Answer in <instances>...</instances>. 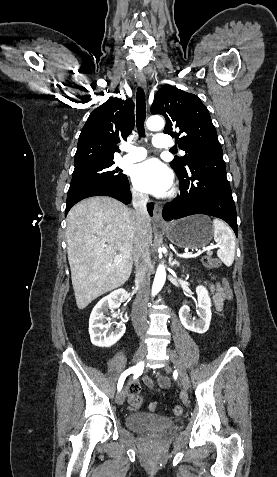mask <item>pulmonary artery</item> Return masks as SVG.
Returning <instances> with one entry per match:
<instances>
[{"instance_id":"pulmonary-artery-1","label":"pulmonary artery","mask_w":277,"mask_h":477,"mask_svg":"<svg viewBox=\"0 0 277 477\" xmlns=\"http://www.w3.org/2000/svg\"><path fill=\"white\" fill-rule=\"evenodd\" d=\"M153 145L158 148H171L173 146L172 141L164 134H157L154 136ZM181 153L184 154L183 151ZM147 153L143 147H130L128 154L123 156L125 162H138L146 157Z\"/></svg>"}]
</instances>
